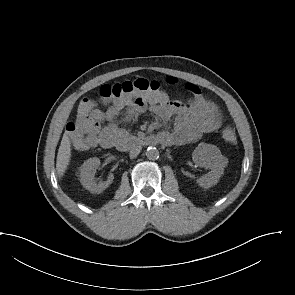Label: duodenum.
Listing matches in <instances>:
<instances>
[{
  "label": "duodenum",
  "mask_w": 295,
  "mask_h": 295,
  "mask_svg": "<svg viewBox=\"0 0 295 295\" xmlns=\"http://www.w3.org/2000/svg\"><path fill=\"white\" fill-rule=\"evenodd\" d=\"M168 145L169 141L161 136H152L145 135L142 137H131L128 135H123L119 139H117L113 146H120L122 148H133L136 146H153V145Z\"/></svg>",
  "instance_id": "1"
}]
</instances>
